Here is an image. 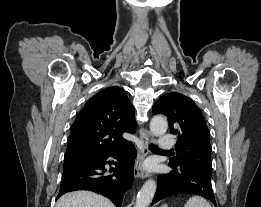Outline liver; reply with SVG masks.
<instances>
[{
    "instance_id": "liver-1",
    "label": "liver",
    "mask_w": 261,
    "mask_h": 207,
    "mask_svg": "<svg viewBox=\"0 0 261 207\" xmlns=\"http://www.w3.org/2000/svg\"><path fill=\"white\" fill-rule=\"evenodd\" d=\"M56 207H115L113 203L94 192L74 191L59 198Z\"/></svg>"
}]
</instances>
